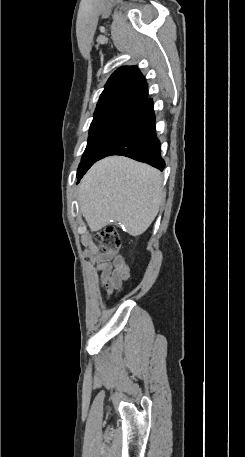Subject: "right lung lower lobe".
Returning <instances> with one entry per match:
<instances>
[{"mask_svg":"<svg viewBox=\"0 0 245 457\" xmlns=\"http://www.w3.org/2000/svg\"><path fill=\"white\" fill-rule=\"evenodd\" d=\"M110 155H122L163 170L161 147L155 130L153 101L146 98L136 105L108 142L97 161Z\"/></svg>","mask_w":245,"mask_h":457,"instance_id":"right-lung-lower-lobe-1","label":"right lung lower lobe"}]
</instances>
